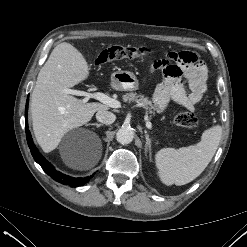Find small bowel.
<instances>
[{
	"instance_id": "obj_1",
	"label": "small bowel",
	"mask_w": 247,
	"mask_h": 247,
	"mask_svg": "<svg viewBox=\"0 0 247 247\" xmlns=\"http://www.w3.org/2000/svg\"><path fill=\"white\" fill-rule=\"evenodd\" d=\"M154 68L162 69L164 73L153 95L159 111L165 110L171 101L193 110L203 99L207 89V74L205 65L196 55L190 52H169L164 59L154 64Z\"/></svg>"
}]
</instances>
